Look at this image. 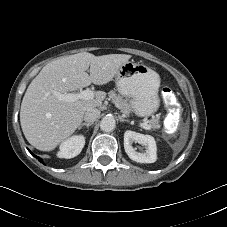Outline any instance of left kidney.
I'll use <instances>...</instances> for the list:
<instances>
[{"instance_id": "obj_1", "label": "left kidney", "mask_w": 227, "mask_h": 227, "mask_svg": "<svg viewBox=\"0 0 227 227\" xmlns=\"http://www.w3.org/2000/svg\"><path fill=\"white\" fill-rule=\"evenodd\" d=\"M133 142L145 146V152H137L132 146ZM124 149L130 159L139 163H154L157 159L156 142L150 135H144L130 130L126 131L124 133Z\"/></svg>"}]
</instances>
